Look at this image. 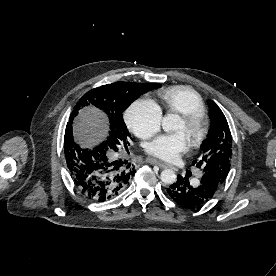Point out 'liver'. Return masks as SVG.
I'll return each instance as SVG.
<instances>
[{
  "label": "liver",
  "instance_id": "obj_1",
  "mask_svg": "<svg viewBox=\"0 0 276 276\" xmlns=\"http://www.w3.org/2000/svg\"><path fill=\"white\" fill-rule=\"evenodd\" d=\"M107 133L105 116L96 108L88 107L79 112L73 126L75 140L82 147H92L99 143Z\"/></svg>",
  "mask_w": 276,
  "mask_h": 276
}]
</instances>
